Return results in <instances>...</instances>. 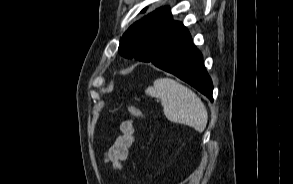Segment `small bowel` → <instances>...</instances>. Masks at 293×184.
I'll use <instances>...</instances> for the list:
<instances>
[{
	"label": "small bowel",
	"mask_w": 293,
	"mask_h": 184,
	"mask_svg": "<svg viewBox=\"0 0 293 184\" xmlns=\"http://www.w3.org/2000/svg\"><path fill=\"white\" fill-rule=\"evenodd\" d=\"M121 134L106 153L105 162L115 169H120L127 159L129 148L134 143L135 127L132 120H125L120 124Z\"/></svg>",
	"instance_id": "obj_1"
}]
</instances>
